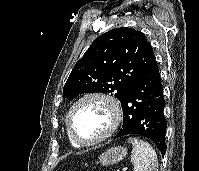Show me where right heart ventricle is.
<instances>
[{
  "label": "right heart ventricle",
  "instance_id": "e07e8e85",
  "mask_svg": "<svg viewBox=\"0 0 199 171\" xmlns=\"http://www.w3.org/2000/svg\"><path fill=\"white\" fill-rule=\"evenodd\" d=\"M68 139H69V141H70V143H71L72 146H74V147H79V145H78L77 143H75V142L70 138L69 135H68Z\"/></svg>",
  "mask_w": 199,
  "mask_h": 171
}]
</instances>
